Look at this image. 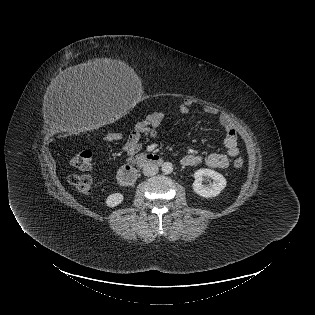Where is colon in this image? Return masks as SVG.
Wrapping results in <instances>:
<instances>
[{
  "label": "colon",
  "mask_w": 315,
  "mask_h": 315,
  "mask_svg": "<svg viewBox=\"0 0 315 315\" xmlns=\"http://www.w3.org/2000/svg\"><path fill=\"white\" fill-rule=\"evenodd\" d=\"M122 138L120 133L114 132L107 135L108 141H117ZM92 162V152L89 150H83L75 154L71 159V164L82 171H86L90 168ZM244 160L238 157L234 160L233 165L236 168L242 167ZM70 184L79 192L87 194L92 188V179L86 174H75L69 177Z\"/></svg>",
  "instance_id": "obj_1"
}]
</instances>
